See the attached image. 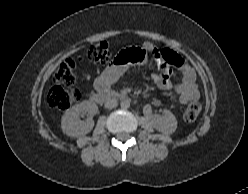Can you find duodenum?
Listing matches in <instances>:
<instances>
[{"mask_svg":"<svg viewBox=\"0 0 248 194\" xmlns=\"http://www.w3.org/2000/svg\"><path fill=\"white\" fill-rule=\"evenodd\" d=\"M128 98L126 93L120 92H96L91 96V100L96 104L104 103L108 100H125Z\"/></svg>","mask_w":248,"mask_h":194,"instance_id":"obj_1","label":"duodenum"}]
</instances>
